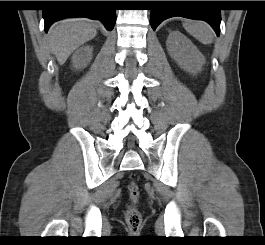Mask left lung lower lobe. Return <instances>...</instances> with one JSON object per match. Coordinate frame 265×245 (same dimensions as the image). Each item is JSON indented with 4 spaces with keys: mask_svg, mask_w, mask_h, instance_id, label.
<instances>
[{
    "mask_svg": "<svg viewBox=\"0 0 265 245\" xmlns=\"http://www.w3.org/2000/svg\"><path fill=\"white\" fill-rule=\"evenodd\" d=\"M161 7L151 10L150 23L153 30L165 19L181 16L189 19L204 20L208 22L216 34L220 32V10L213 8V1H162ZM202 6V8H193ZM205 6V7H204Z\"/></svg>",
    "mask_w": 265,
    "mask_h": 245,
    "instance_id": "1",
    "label": "left lung lower lobe"
}]
</instances>
